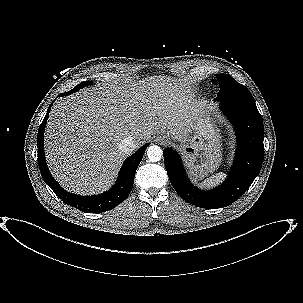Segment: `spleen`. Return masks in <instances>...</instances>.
I'll use <instances>...</instances> for the list:
<instances>
[{
    "label": "spleen",
    "mask_w": 303,
    "mask_h": 303,
    "mask_svg": "<svg viewBox=\"0 0 303 303\" xmlns=\"http://www.w3.org/2000/svg\"><path fill=\"white\" fill-rule=\"evenodd\" d=\"M226 177V174L223 172L217 173L213 176H211L210 178H208L207 180H205L203 182V185L205 186H212L215 184H218L219 182H221L224 178Z\"/></svg>",
    "instance_id": "spleen-1"
}]
</instances>
